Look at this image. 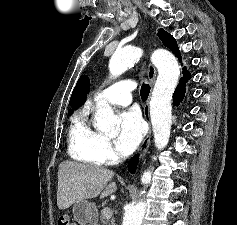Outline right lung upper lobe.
Listing matches in <instances>:
<instances>
[{
    "label": "right lung upper lobe",
    "instance_id": "cb5924a9",
    "mask_svg": "<svg viewBox=\"0 0 237 225\" xmlns=\"http://www.w3.org/2000/svg\"><path fill=\"white\" fill-rule=\"evenodd\" d=\"M90 89V80L86 75H83L79 78L70 98V106L73 109L81 106L87 97V94ZM71 113V109L69 110Z\"/></svg>",
    "mask_w": 237,
    "mask_h": 225
}]
</instances>
